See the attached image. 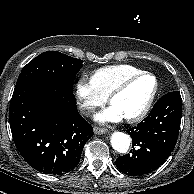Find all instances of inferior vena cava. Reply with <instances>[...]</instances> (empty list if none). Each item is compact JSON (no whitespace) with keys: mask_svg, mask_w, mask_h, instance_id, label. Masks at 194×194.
Listing matches in <instances>:
<instances>
[{"mask_svg":"<svg viewBox=\"0 0 194 194\" xmlns=\"http://www.w3.org/2000/svg\"><path fill=\"white\" fill-rule=\"evenodd\" d=\"M80 111L83 115L89 116L92 112H94V109L89 106H80Z\"/></svg>","mask_w":194,"mask_h":194,"instance_id":"inferior-vena-cava-1","label":"inferior vena cava"}]
</instances>
